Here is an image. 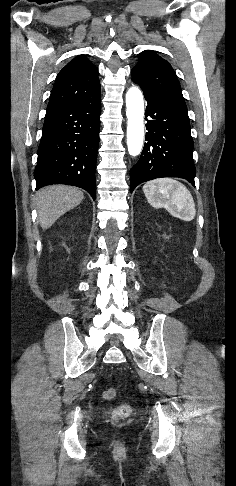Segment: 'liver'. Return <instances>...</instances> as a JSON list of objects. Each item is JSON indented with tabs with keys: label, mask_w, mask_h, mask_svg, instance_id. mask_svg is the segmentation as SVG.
I'll return each mask as SVG.
<instances>
[{
	"label": "liver",
	"mask_w": 236,
	"mask_h": 486,
	"mask_svg": "<svg viewBox=\"0 0 236 486\" xmlns=\"http://www.w3.org/2000/svg\"><path fill=\"white\" fill-rule=\"evenodd\" d=\"M83 198L82 191L66 185H53L38 191L36 207L41 228H50L60 216L79 205Z\"/></svg>",
	"instance_id": "liver-1"
}]
</instances>
